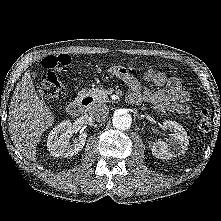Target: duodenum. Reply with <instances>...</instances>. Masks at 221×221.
<instances>
[{
	"mask_svg": "<svg viewBox=\"0 0 221 221\" xmlns=\"http://www.w3.org/2000/svg\"><path fill=\"white\" fill-rule=\"evenodd\" d=\"M93 101L92 96L83 95L67 105V113L72 117H78L83 113L85 106L92 104Z\"/></svg>",
	"mask_w": 221,
	"mask_h": 221,
	"instance_id": "410a0bca",
	"label": "duodenum"
}]
</instances>
